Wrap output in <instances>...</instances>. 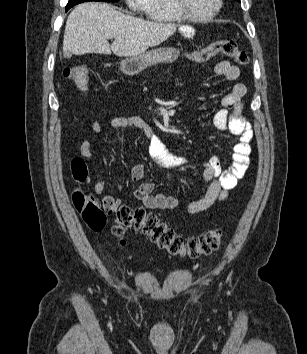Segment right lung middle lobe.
Here are the masks:
<instances>
[{
    "instance_id": "1",
    "label": "right lung middle lobe",
    "mask_w": 307,
    "mask_h": 354,
    "mask_svg": "<svg viewBox=\"0 0 307 354\" xmlns=\"http://www.w3.org/2000/svg\"><path fill=\"white\" fill-rule=\"evenodd\" d=\"M87 1L117 2L119 0H69L68 4L66 6V11L76 4H79L82 2H87Z\"/></svg>"
}]
</instances>
